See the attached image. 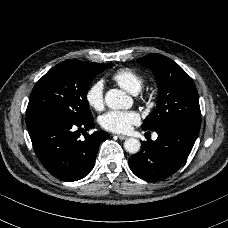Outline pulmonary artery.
I'll return each instance as SVG.
<instances>
[{
  "label": "pulmonary artery",
  "instance_id": "obj_1",
  "mask_svg": "<svg viewBox=\"0 0 228 228\" xmlns=\"http://www.w3.org/2000/svg\"><path fill=\"white\" fill-rule=\"evenodd\" d=\"M157 137V135H154V139Z\"/></svg>",
  "mask_w": 228,
  "mask_h": 228
}]
</instances>
